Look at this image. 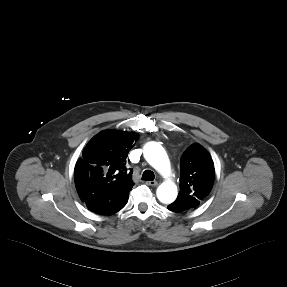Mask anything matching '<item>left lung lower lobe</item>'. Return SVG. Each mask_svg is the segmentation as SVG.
<instances>
[{
  "mask_svg": "<svg viewBox=\"0 0 287 287\" xmlns=\"http://www.w3.org/2000/svg\"><path fill=\"white\" fill-rule=\"evenodd\" d=\"M168 209L173 211V212H178V209L172 204L168 205Z\"/></svg>",
  "mask_w": 287,
  "mask_h": 287,
  "instance_id": "0a47b994",
  "label": "left lung lower lobe"
}]
</instances>
